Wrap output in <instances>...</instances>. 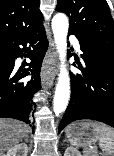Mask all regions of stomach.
<instances>
[{"label":"stomach","mask_w":114,"mask_h":156,"mask_svg":"<svg viewBox=\"0 0 114 156\" xmlns=\"http://www.w3.org/2000/svg\"><path fill=\"white\" fill-rule=\"evenodd\" d=\"M84 122L80 121L69 125L66 128V137L74 146L93 150L96 142L99 141V136L92 127H86Z\"/></svg>","instance_id":"stomach-1"}]
</instances>
